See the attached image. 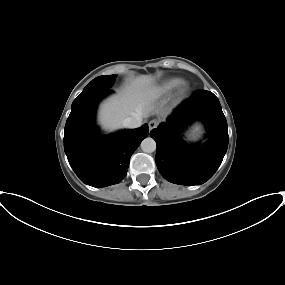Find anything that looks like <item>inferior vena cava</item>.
<instances>
[{"instance_id": "602c4592", "label": "inferior vena cava", "mask_w": 285, "mask_h": 285, "mask_svg": "<svg viewBox=\"0 0 285 285\" xmlns=\"http://www.w3.org/2000/svg\"><path fill=\"white\" fill-rule=\"evenodd\" d=\"M142 124V117L140 115H134L131 117H128L123 120V126L126 128H138Z\"/></svg>"}]
</instances>
